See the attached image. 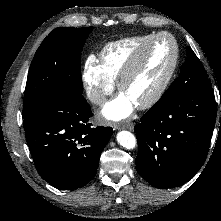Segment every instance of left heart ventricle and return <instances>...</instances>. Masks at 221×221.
<instances>
[{"instance_id":"1","label":"left heart ventricle","mask_w":221,"mask_h":221,"mask_svg":"<svg viewBox=\"0 0 221 221\" xmlns=\"http://www.w3.org/2000/svg\"><path fill=\"white\" fill-rule=\"evenodd\" d=\"M173 57L169 38L156 40L147 50L138 73L124 86L122 93L135 105L143 102L157 89L165 77Z\"/></svg>"}]
</instances>
